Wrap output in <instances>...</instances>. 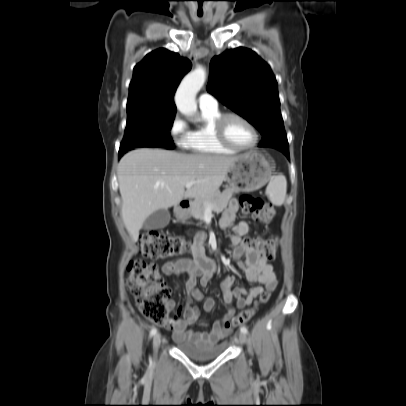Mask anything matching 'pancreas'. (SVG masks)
<instances>
[{"label": "pancreas", "instance_id": "1", "mask_svg": "<svg viewBox=\"0 0 406 406\" xmlns=\"http://www.w3.org/2000/svg\"><path fill=\"white\" fill-rule=\"evenodd\" d=\"M235 191L233 189H226L222 193L216 191L215 193L206 196V197H199L194 200L191 206L190 214L195 219L201 220L204 216L206 211L205 204L208 203L212 205V209L215 212H221L227 208L228 203L232 199L233 193Z\"/></svg>", "mask_w": 406, "mask_h": 406}]
</instances>
